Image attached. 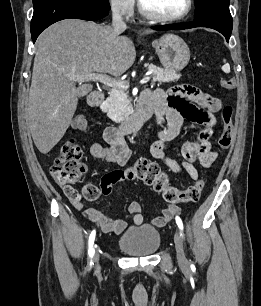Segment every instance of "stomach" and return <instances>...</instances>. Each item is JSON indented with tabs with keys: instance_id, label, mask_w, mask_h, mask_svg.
I'll use <instances>...</instances> for the list:
<instances>
[{
	"instance_id": "1",
	"label": "stomach",
	"mask_w": 261,
	"mask_h": 306,
	"mask_svg": "<svg viewBox=\"0 0 261 306\" xmlns=\"http://www.w3.org/2000/svg\"><path fill=\"white\" fill-rule=\"evenodd\" d=\"M152 45L164 69L178 72L189 62L190 50L188 45L182 38L173 33L163 35L155 40Z\"/></svg>"
}]
</instances>
